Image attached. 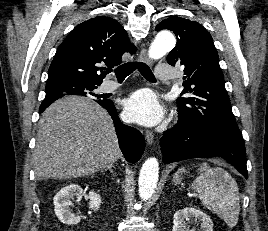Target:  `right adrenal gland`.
<instances>
[{
  "label": "right adrenal gland",
  "mask_w": 268,
  "mask_h": 231,
  "mask_svg": "<svg viewBox=\"0 0 268 231\" xmlns=\"http://www.w3.org/2000/svg\"><path fill=\"white\" fill-rule=\"evenodd\" d=\"M106 170H109L111 174H114L113 164L108 165L106 168L102 169L101 172H104Z\"/></svg>",
  "instance_id": "2a0ac1e0"
}]
</instances>
